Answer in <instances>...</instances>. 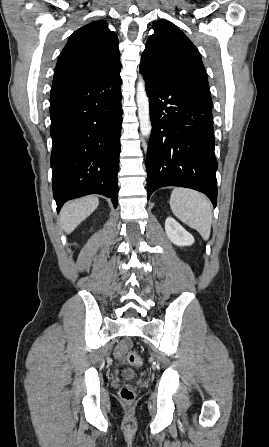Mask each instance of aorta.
Here are the masks:
<instances>
[{
	"instance_id": "1",
	"label": "aorta",
	"mask_w": 269,
	"mask_h": 447,
	"mask_svg": "<svg viewBox=\"0 0 269 447\" xmlns=\"http://www.w3.org/2000/svg\"><path fill=\"white\" fill-rule=\"evenodd\" d=\"M136 102L138 108V118L140 124V132L143 138H149L152 132L150 122L149 98L145 92V82L140 78L137 84Z\"/></svg>"
}]
</instances>
